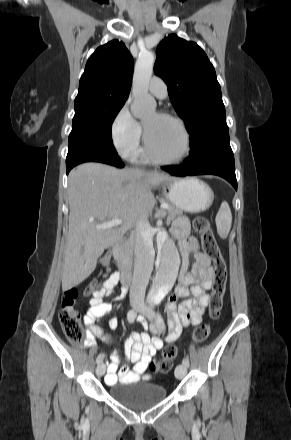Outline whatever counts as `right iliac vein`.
Masks as SVG:
<instances>
[{
  "instance_id": "63e3f726",
  "label": "right iliac vein",
  "mask_w": 291,
  "mask_h": 440,
  "mask_svg": "<svg viewBox=\"0 0 291 440\" xmlns=\"http://www.w3.org/2000/svg\"><path fill=\"white\" fill-rule=\"evenodd\" d=\"M131 306L135 309L139 308V305L136 301H131ZM105 371H106V365L102 362L99 363L96 368V374L100 377L104 375Z\"/></svg>"
}]
</instances>
